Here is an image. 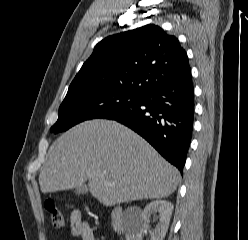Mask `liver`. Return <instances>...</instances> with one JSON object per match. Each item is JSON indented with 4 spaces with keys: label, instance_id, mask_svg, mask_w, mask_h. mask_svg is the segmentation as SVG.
<instances>
[{
    "label": "liver",
    "instance_id": "1",
    "mask_svg": "<svg viewBox=\"0 0 248 240\" xmlns=\"http://www.w3.org/2000/svg\"><path fill=\"white\" fill-rule=\"evenodd\" d=\"M179 179V171L144 139L109 120L86 121L63 133L39 175L44 194L88 180L92 196L106 206L168 197Z\"/></svg>",
    "mask_w": 248,
    "mask_h": 240
}]
</instances>
